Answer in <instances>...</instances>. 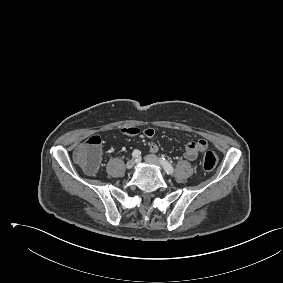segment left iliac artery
Here are the masks:
<instances>
[{
    "mask_svg": "<svg viewBox=\"0 0 283 283\" xmlns=\"http://www.w3.org/2000/svg\"><path fill=\"white\" fill-rule=\"evenodd\" d=\"M160 162L167 174H173L174 168L165 158H160Z\"/></svg>",
    "mask_w": 283,
    "mask_h": 283,
    "instance_id": "left-iliac-artery-1",
    "label": "left iliac artery"
}]
</instances>
